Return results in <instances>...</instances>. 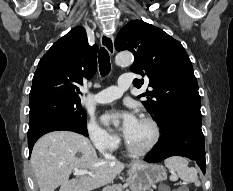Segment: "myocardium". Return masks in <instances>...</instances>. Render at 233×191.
Masks as SVG:
<instances>
[{
  "mask_svg": "<svg viewBox=\"0 0 233 191\" xmlns=\"http://www.w3.org/2000/svg\"><path fill=\"white\" fill-rule=\"evenodd\" d=\"M140 119L147 121L153 128V139L152 141L145 147H138L133 144H131L127 139H125L126 147L133 153L138 155H143L151 150H153L156 145L158 144L160 137H161V130L158 122L150 115H142Z\"/></svg>",
  "mask_w": 233,
  "mask_h": 191,
  "instance_id": "1",
  "label": "myocardium"
}]
</instances>
